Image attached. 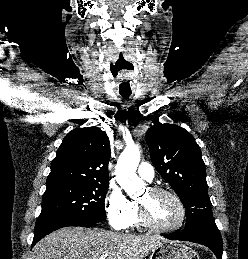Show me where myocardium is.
Returning a JSON list of instances; mask_svg holds the SVG:
<instances>
[{
	"label": "myocardium",
	"mask_w": 248,
	"mask_h": 259,
	"mask_svg": "<svg viewBox=\"0 0 248 259\" xmlns=\"http://www.w3.org/2000/svg\"><path fill=\"white\" fill-rule=\"evenodd\" d=\"M148 191L151 194H166V195L170 196L171 198H173V200L176 202V204L179 207L180 217H179L177 224H175L174 226L166 227V228L159 227L150 220L145 205L138 202V204H137L138 215H139V220H140L141 225L144 226L145 228L149 229L150 231H153L156 233H161V234H170V233H174V232L178 231L183 226V224L186 220V208H185L183 201L179 197V195L177 193H175L173 190L165 188V187H161V186L150 187V188H148Z\"/></svg>",
	"instance_id": "myocardium-1"
}]
</instances>
